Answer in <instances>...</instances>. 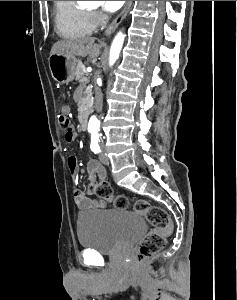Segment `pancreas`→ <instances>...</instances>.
Wrapping results in <instances>:
<instances>
[{
  "label": "pancreas",
  "instance_id": "obj_1",
  "mask_svg": "<svg viewBox=\"0 0 237 300\" xmlns=\"http://www.w3.org/2000/svg\"><path fill=\"white\" fill-rule=\"evenodd\" d=\"M74 75H75V81H79V83H81V85H83V87H85V85H87V83H89L87 77H84L85 69H81V67H76ZM78 107H79L78 115H79V117H82L83 111H86V105H83L82 99H80V101L78 103Z\"/></svg>",
  "mask_w": 237,
  "mask_h": 300
}]
</instances>
